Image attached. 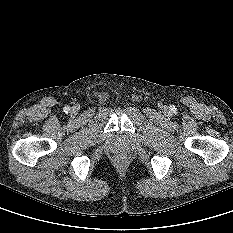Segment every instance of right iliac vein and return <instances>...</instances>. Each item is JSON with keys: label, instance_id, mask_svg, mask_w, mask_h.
I'll use <instances>...</instances> for the list:
<instances>
[{"label": "right iliac vein", "instance_id": "63e3f726", "mask_svg": "<svg viewBox=\"0 0 233 233\" xmlns=\"http://www.w3.org/2000/svg\"><path fill=\"white\" fill-rule=\"evenodd\" d=\"M72 111H73V112H76V111H77V108H76V107H73Z\"/></svg>", "mask_w": 233, "mask_h": 233}]
</instances>
